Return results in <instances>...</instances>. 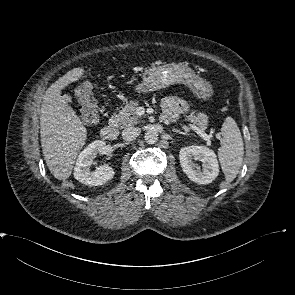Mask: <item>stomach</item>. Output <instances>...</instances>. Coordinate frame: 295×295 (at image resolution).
I'll return each instance as SVG.
<instances>
[{
	"label": "stomach",
	"instance_id": "1",
	"mask_svg": "<svg viewBox=\"0 0 295 295\" xmlns=\"http://www.w3.org/2000/svg\"><path fill=\"white\" fill-rule=\"evenodd\" d=\"M143 81L136 86V91L148 93L166 88L173 84H183L201 100H208L213 95L212 85L196 74L186 64L170 63L152 67L144 71Z\"/></svg>",
	"mask_w": 295,
	"mask_h": 295
}]
</instances>
